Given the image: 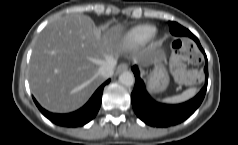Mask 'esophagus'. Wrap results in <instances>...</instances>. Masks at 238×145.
Instances as JSON below:
<instances>
[{
	"label": "esophagus",
	"mask_w": 238,
	"mask_h": 145,
	"mask_svg": "<svg viewBox=\"0 0 238 145\" xmlns=\"http://www.w3.org/2000/svg\"><path fill=\"white\" fill-rule=\"evenodd\" d=\"M128 69V65L126 63H122L117 67V73H121Z\"/></svg>",
	"instance_id": "1"
}]
</instances>
